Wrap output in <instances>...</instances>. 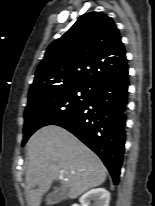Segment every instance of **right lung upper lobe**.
I'll use <instances>...</instances> for the list:
<instances>
[{
	"mask_svg": "<svg viewBox=\"0 0 155 206\" xmlns=\"http://www.w3.org/2000/svg\"><path fill=\"white\" fill-rule=\"evenodd\" d=\"M127 68L125 48L115 23L105 14L90 12L49 45L29 96L68 85L97 89Z\"/></svg>",
	"mask_w": 155,
	"mask_h": 206,
	"instance_id": "right-lung-upper-lobe-1",
	"label": "right lung upper lobe"
}]
</instances>
